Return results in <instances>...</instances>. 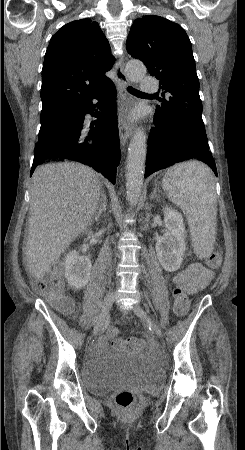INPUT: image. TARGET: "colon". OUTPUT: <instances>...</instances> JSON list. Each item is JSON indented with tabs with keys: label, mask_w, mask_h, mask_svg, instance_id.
<instances>
[{
	"label": "colon",
	"mask_w": 245,
	"mask_h": 450,
	"mask_svg": "<svg viewBox=\"0 0 245 450\" xmlns=\"http://www.w3.org/2000/svg\"><path fill=\"white\" fill-rule=\"evenodd\" d=\"M220 262L221 257L218 251L211 252L206 258V264L210 268L219 267ZM36 289L38 293L47 297L51 305L63 315H68L72 312L74 304L63 293V283L60 275L54 273L45 274L44 278L38 282ZM171 296L175 313L179 316H185L190 306V300L185 290L181 286H175ZM108 335L111 343L116 347L125 348L132 352L139 351L143 347V343L138 339L126 340L118 337L115 329H110ZM115 402L118 410L126 413L134 402V396L130 391L123 390L117 393Z\"/></svg>",
	"instance_id": "5ec220e1"
}]
</instances>
